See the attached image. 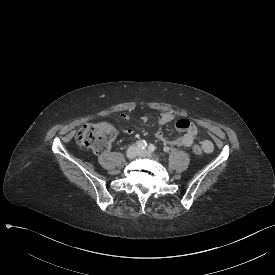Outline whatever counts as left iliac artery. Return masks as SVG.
I'll return each instance as SVG.
<instances>
[{
    "mask_svg": "<svg viewBox=\"0 0 275 275\" xmlns=\"http://www.w3.org/2000/svg\"><path fill=\"white\" fill-rule=\"evenodd\" d=\"M148 150H149L150 152H154V151L157 150V147H156L155 145H153V144H150V145L148 146Z\"/></svg>",
    "mask_w": 275,
    "mask_h": 275,
    "instance_id": "1",
    "label": "left iliac artery"
}]
</instances>
